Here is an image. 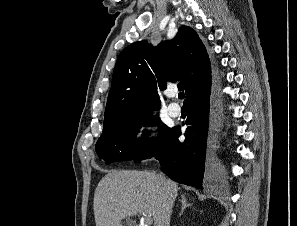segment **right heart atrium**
Returning a JSON list of instances; mask_svg holds the SVG:
<instances>
[{"instance_id":"right-heart-atrium-1","label":"right heart atrium","mask_w":297,"mask_h":226,"mask_svg":"<svg viewBox=\"0 0 297 226\" xmlns=\"http://www.w3.org/2000/svg\"><path fill=\"white\" fill-rule=\"evenodd\" d=\"M148 133L145 131V129L144 128H140L139 130H138V137H140V138H148Z\"/></svg>"}]
</instances>
